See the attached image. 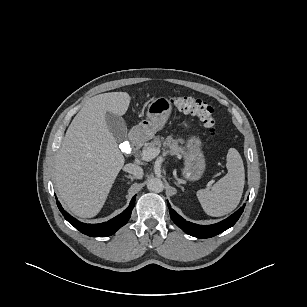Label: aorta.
Masks as SVG:
<instances>
[{
    "instance_id": "1",
    "label": "aorta",
    "mask_w": 307,
    "mask_h": 307,
    "mask_svg": "<svg viewBox=\"0 0 307 307\" xmlns=\"http://www.w3.org/2000/svg\"><path fill=\"white\" fill-rule=\"evenodd\" d=\"M147 188L149 191L159 193L163 191L164 184L161 179L153 177L148 180Z\"/></svg>"
}]
</instances>
